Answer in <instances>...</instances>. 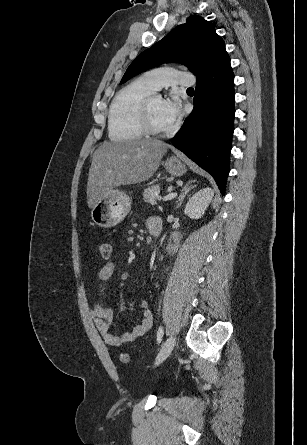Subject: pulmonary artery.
Returning a JSON list of instances; mask_svg holds the SVG:
<instances>
[{"mask_svg": "<svg viewBox=\"0 0 307 445\" xmlns=\"http://www.w3.org/2000/svg\"><path fill=\"white\" fill-rule=\"evenodd\" d=\"M144 80H147L150 86L157 90L164 84H179L181 90H188L190 84H193V75H187L186 69H174L168 67L166 69H148L142 74Z\"/></svg>", "mask_w": 307, "mask_h": 445, "instance_id": "e3ab8cb5", "label": "pulmonary artery"}]
</instances>
